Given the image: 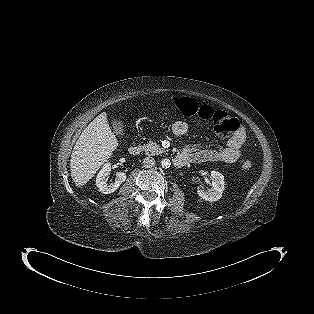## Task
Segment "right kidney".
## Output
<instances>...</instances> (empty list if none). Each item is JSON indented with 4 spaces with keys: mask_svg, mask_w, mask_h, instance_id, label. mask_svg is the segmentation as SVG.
<instances>
[{
    "mask_svg": "<svg viewBox=\"0 0 314 314\" xmlns=\"http://www.w3.org/2000/svg\"><path fill=\"white\" fill-rule=\"evenodd\" d=\"M111 172V164L106 163L103 168L99 171L96 178V186L99 191L104 194H110L115 192L119 186L126 180V174L124 172H119L116 175L114 183H107L108 175Z\"/></svg>",
    "mask_w": 314,
    "mask_h": 314,
    "instance_id": "obj_1",
    "label": "right kidney"
}]
</instances>
